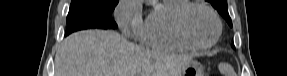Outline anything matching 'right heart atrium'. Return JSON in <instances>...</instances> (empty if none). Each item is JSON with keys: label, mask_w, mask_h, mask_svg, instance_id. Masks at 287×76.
<instances>
[{"label": "right heart atrium", "mask_w": 287, "mask_h": 76, "mask_svg": "<svg viewBox=\"0 0 287 76\" xmlns=\"http://www.w3.org/2000/svg\"><path fill=\"white\" fill-rule=\"evenodd\" d=\"M115 19L124 34L138 37L143 27L141 1L121 0L115 10Z\"/></svg>", "instance_id": "obj_1"}]
</instances>
